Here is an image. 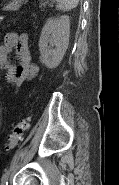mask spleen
Wrapping results in <instances>:
<instances>
[{
	"label": "spleen",
	"mask_w": 119,
	"mask_h": 185,
	"mask_svg": "<svg viewBox=\"0 0 119 185\" xmlns=\"http://www.w3.org/2000/svg\"><path fill=\"white\" fill-rule=\"evenodd\" d=\"M79 0H57V7L63 11L74 9L78 5Z\"/></svg>",
	"instance_id": "spleen-1"
}]
</instances>
